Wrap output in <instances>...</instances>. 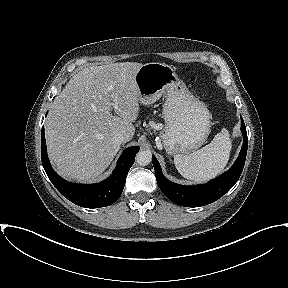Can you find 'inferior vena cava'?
I'll return each instance as SVG.
<instances>
[{
  "label": "inferior vena cava",
  "mask_w": 288,
  "mask_h": 288,
  "mask_svg": "<svg viewBox=\"0 0 288 288\" xmlns=\"http://www.w3.org/2000/svg\"><path fill=\"white\" fill-rule=\"evenodd\" d=\"M115 140L119 143H123L125 142V137L123 134L118 133L115 135Z\"/></svg>",
  "instance_id": "obj_1"
}]
</instances>
